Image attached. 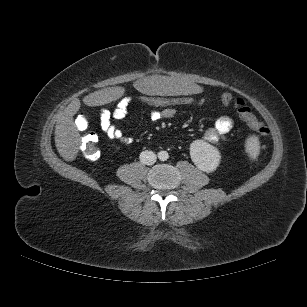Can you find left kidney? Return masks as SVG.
<instances>
[{"label":"left kidney","mask_w":307,"mask_h":307,"mask_svg":"<svg viewBox=\"0 0 307 307\" xmlns=\"http://www.w3.org/2000/svg\"><path fill=\"white\" fill-rule=\"evenodd\" d=\"M190 156L193 163L207 173L215 171L221 160L219 150L201 139L190 144Z\"/></svg>","instance_id":"1"}]
</instances>
